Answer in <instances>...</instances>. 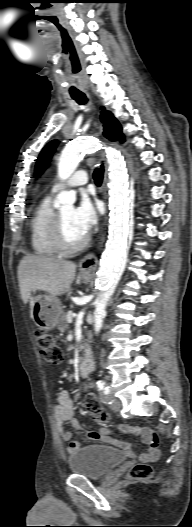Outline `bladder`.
<instances>
[{
    "instance_id": "obj_1",
    "label": "bladder",
    "mask_w": 192,
    "mask_h": 527,
    "mask_svg": "<svg viewBox=\"0 0 192 527\" xmlns=\"http://www.w3.org/2000/svg\"><path fill=\"white\" fill-rule=\"evenodd\" d=\"M126 455L119 449L104 444H90L73 452L68 459L72 474L89 479H101L121 465Z\"/></svg>"
}]
</instances>
